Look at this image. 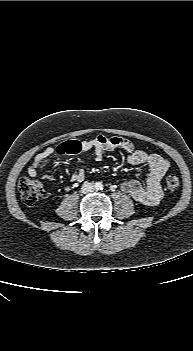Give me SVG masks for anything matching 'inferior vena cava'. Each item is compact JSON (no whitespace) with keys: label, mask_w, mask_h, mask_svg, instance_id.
I'll list each match as a JSON object with an SVG mask.
<instances>
[{"label":"inferior vena cava","mask_w":193,"mask_h":351,"mask_svg":"<svg viewBox=\"0 0 193 351\" xmlns=\"http://www.w3.org/2000/svg\"><path fill=\"white\" fill-rule=\"evenodd\" d=\"M95 190V187L92 183H89V182H84L83 185H82V188H81V192L83 194H88V193H91Z\"/></svg>","instance_id":"1"}]
</instances>
